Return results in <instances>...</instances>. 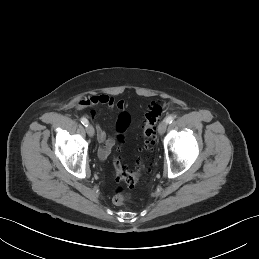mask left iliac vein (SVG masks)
<instances>
[{
	"mask_svg": "<svg viewBox=\"0 0 259 259\" xmlns=\"http://www.w3.org/2000/svg\"><path fill=\"white\" fill-rule=\"evenodd\" d=\"M167 129V123L166 121H162L158 126V133L160 135H163Z\"/></svg>",
	"mask_w": 259,
	"mask_h": 259,
	"instance_id": "left-iliac-vein-1",
	"label": "left iliac vein"
}]
</instances>
